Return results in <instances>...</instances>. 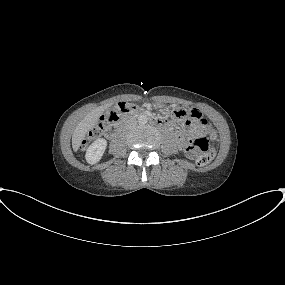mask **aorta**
<instances>
[{"label": "aorta", "instance_id": "762f6f07", "mask_svg": "<svg viewBox=\"0 0 285 285\" xmlns=\"http://www.w3.org/2000/svg\"><path fill=\"white\" fill-rule=\"evenodd\" d=\"M147 121H148V118H147V116L144 115V114H141V115L138 117V122H139L140 124H146Z\"/></svg>", "mask_w": 285, "mask_h": 285}]
</instances>
